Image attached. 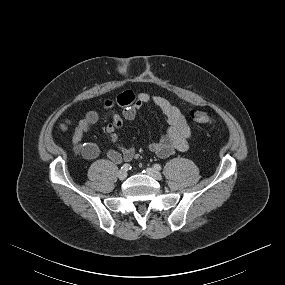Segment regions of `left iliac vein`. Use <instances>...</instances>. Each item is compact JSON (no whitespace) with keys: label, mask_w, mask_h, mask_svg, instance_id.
I'll list each match as a JSON object with an SVG mask.
<instances>
[{"label":"left iliac vein","mask_w":285,"mask_h":285,"mask_svg":"<svg viewBox=\"0 0 285 285\" xmlns=\"http://www.w3.org/2000/svg\"><path fill=\"white\" fill-rule=\"evenodd\" d=\"M146 173L156 180H162V174L154 168H147Z\"/></svg>","instance_id":"1"}]
</instances>
